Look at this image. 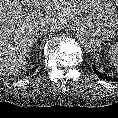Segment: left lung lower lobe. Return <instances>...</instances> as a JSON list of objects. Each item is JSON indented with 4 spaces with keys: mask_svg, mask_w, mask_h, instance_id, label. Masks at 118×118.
<instances>
[{
    "mask_svg": "<svg viewBox=\"0 0 118 118\" xmlns=\"http://www.w3.org/2000/svg\"><path fill=\"white\" fill-rule=\"evenodd\" d=\"M93 71L100 77V78H104L106 80H111V81H118V79L116 77L112 78L111 76H107L106 74L100 73L95 66H92Z\"/></svg>",
    "mask_w": 118,
    "mask_h": 118,
    "instance_id": "1",
    "label": "left lung lower lobe"
}]
</instances>
